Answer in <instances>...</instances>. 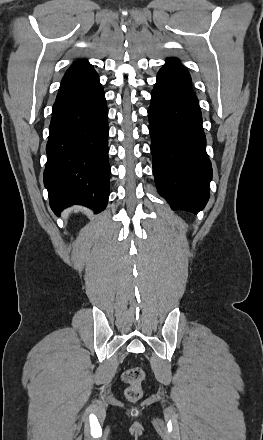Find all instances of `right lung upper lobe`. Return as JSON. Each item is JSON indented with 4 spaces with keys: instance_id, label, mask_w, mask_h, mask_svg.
Returning <instances> with one entry per match:
<instances>
[{
    "instance_id": "1",
    "label": "right lung upper lobe",
    "mask_w": 263,
    "mask_h": 440,
    "mask_svg": "<svg viewBox=\"0 0 263 440\" xmlns=\"http://www.w3.org/2000/svg\"><path fill=\"white\" fill-rule=\"evenodd\" d=\"M92 70H94L93 66L91 64H89L87 61H85V60L79 61L67 70V72L65 73V75L62 79V82L68 81L78 75H81L83 73H86V72H89Z\"/></svg>"
}]
</instances>
